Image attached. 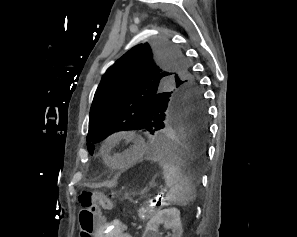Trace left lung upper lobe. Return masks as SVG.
<instances>
[{
    "instance_id": "left-lung-upper-lobe-1",
    "label": "left lung upper lobe",
    "mask_w": 297,
    "mask_h": 237,
    "mask_svg": "<svg viewBox=\"0 0 297 237\" xmlns=\"http://www.w3.org/2000/svg\"><path fill=\"white\" fill-rule=\"evenodd\" d=\"M205 105L180 50L162 40L126 52L102 77L89 115L87 149L110 134L143 129L153 134L177 100Z\"/></svg>"
}]
</instances>
